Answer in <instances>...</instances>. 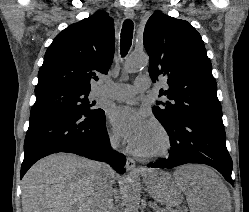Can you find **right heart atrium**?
I'll use <instances>...</instances> for the list:
<instances>
[{"label": "right heart atrium", "instance_id": "d8ad5b80", "mask_svg": "<svg viewBox=\"0 0 249 212\" xmlns=\"http://www.w3.org/2000/svg\"><path fill=\"white\" fill-rule=\"evenodd\" d=\"M108 140L112 145L116 144V138L111 132H108Z\"/></svg>", "mask_w": 249, "mask_h": 212}]
</instances>
